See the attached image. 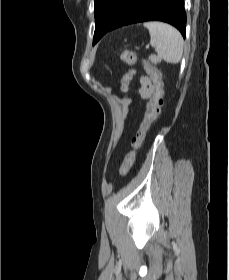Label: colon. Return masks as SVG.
<instances>
[{
	"mask_svg": "<svg viewBox=\"0 0 229 280\" xmlns=\"http://www.w3.org/2000/svg\"><path fill=\"white\" fill-rule=\"evenodd\" d=\"M121 59L128 65L138 61L137 54L132 50L121 52ZM150 77L143 76L140 79L144 97L148 99L147 112L139 126V129L132 139V151L126 156L121 167V175L127 176L133 165L136 153L142 148L149 130L154 121L159 117L163 106V87L160 73L153 67H149ZM132 72L126 73L123 79H131Z\"/></svg>",
	"mask_w": 229,
	"mask_h": 280,
	"instance_id": "colon-1",
	"label": "colon"
}]
</instances>
